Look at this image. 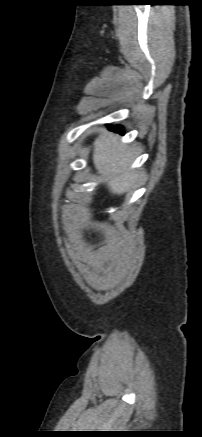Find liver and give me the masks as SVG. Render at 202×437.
<instances>
[{
    "label": "liver",
    "mask_w": 202,
    "mask_h": 437,
    "mask_svg": "<svg viewBox=\"0 0 202 437\" xmlns=\"http://www.w3.org/2000/svg\"><path fill=\"white\" fill-rule=\"evenodd\" d=\"M120 137L104 131L94 143L93 162L113 194L121 195L135 187L139 173L128 170L134 160V150L119 143Z\"/></svg>",
    "instance_id": "obj_1"
}]
</instances>
